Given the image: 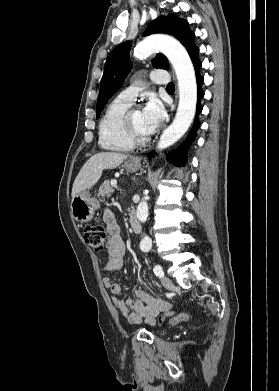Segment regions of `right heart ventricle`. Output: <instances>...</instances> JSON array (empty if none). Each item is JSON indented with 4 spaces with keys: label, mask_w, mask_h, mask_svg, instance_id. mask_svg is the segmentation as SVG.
<instances>
[{
    "label": "right heart ventricle",
    "mask_w": 279,
    "mask_h": 391,
    "mask_svg": "<svg viewBox=\"0 0 279 391\" xmlns=\"http://www.w3.org/2000/svg\"><path fill=\"white\" fill-rule=\"evenodd\" d=\"M132 102L116 97L107 106L99 122V144L101 148L109 151H130L134 145L128 139L123 116L130 108Z\"/></svg>",
    "instance_id": "e07e8e85"
}]
</instances>
